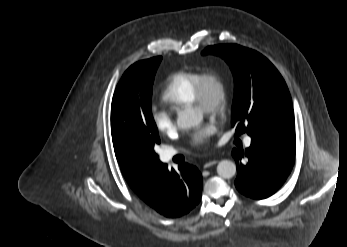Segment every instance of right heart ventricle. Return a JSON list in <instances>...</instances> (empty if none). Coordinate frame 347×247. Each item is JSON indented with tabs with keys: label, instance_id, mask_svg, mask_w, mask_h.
<instances>
[{
	"label": "right heart ventricle",
	"instance_id": "e07e8e85",
	"mask_svg": "<svg viewBox=\"0 0 347 247\" xmlns=\"http://www.w3.org/2000/svg\"><path fill=\"white\" fill-rule=\"evenodd\" d=\"M201 74L196 70H181L171 74L161 91L162 101L173 108L192 104Z\"/></svg>",
	"mask_w": 347,
	"mask_h": 247
}]
</instances>
